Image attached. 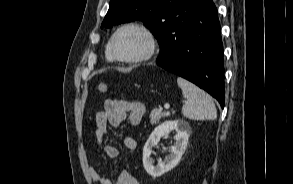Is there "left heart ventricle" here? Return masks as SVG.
<instances>
[{"instance_id": "left-heart-ventricle-1", "label": "left heart ventricle", "mask_w": 293, "mask_h": 184, "mask_svg": "<svg viewBox=\"0 0 293 184\" xmlns=\"http://www.w3.org/2000/svg\"><path fill=\"white\" fill-rule=\"evenodd\" d=\"M147 48L145 35L133 28L125 29L118 34L114 49L121 57L132 58L141 55Z\"/></svg>"}]
</instances>
